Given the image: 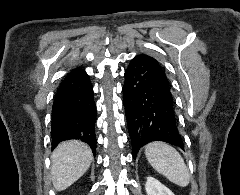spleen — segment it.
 Wrapping results in <instances>:
<instances>
[{"instance_id":"1","label":"spleen","mask_w":240,"mask_h":195,"mask_svg":"<svg viewBox=\"0 0 240 195\" xmlns=\"http://www.w3.org/2000/svg\"><path fill=\"white\" fill-rule=\"evenodd\" d=\"M145 155L154 169L166 175L170 181L181 185V187L188 185L190 181L189 169L175 147L164 143V141H151L145 145Z\"/></svg>"}]
</instances>
